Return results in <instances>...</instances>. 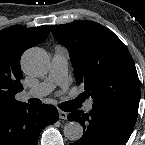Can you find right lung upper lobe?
<instances>
[{
    "label": "right lung upper lobe",
    "mask_w": 145,
    "mask_h": 145,
    "mask_svg": "<svg viewBox=\"0 0 145 145\" xmlns=\"http://www.w3.org/2000/svg\"><path fill=\"white\" fill-rule=\"evenodd\" d=\"M49 33V26L14 25L0 31V113L22 104L15 99V94L23 90L20 58L25 50L45 40Z\"/></svg>",
    "instance_id": "obj_1"
}]
</instances>
